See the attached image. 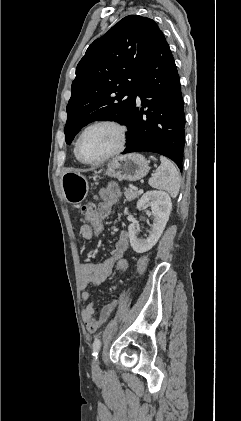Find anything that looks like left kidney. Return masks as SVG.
Returning a JSON list of instances; mask_svg holds the SVG:
<instances>
[{
	"instance_id": "left-kidney-1",
	"label": "left kidney",
	"mask_w": 241,
	"mask_h": 421,
	"mask_svg": "<svg viewBox=\"0 0 241 421\" xmlns=\"http://www.w3.org/2000/svg\"><path fill=\"white\" fill-rule=\"evenodd\" d=\"M148 204L154 216L151 231L146 239L137 237V224L131 223L128 227L130 244L136 253L149 251L159 240L169 219L172 202L170 196L163 191H148L138 200L137 209Z\"/></svg>"
}]
</instances>
